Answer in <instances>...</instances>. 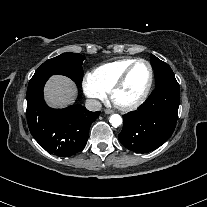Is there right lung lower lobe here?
I'll return each mask as SVG.
<instances>
[{
	"instance_id": "1",
	"label": "right lung lower lobe",
	"mask_w": 207,
	"mask_h": 207,
	"mask_svg": "<svg viewBox=\"0 0 207 207\" xmlns=\"http://www.w3.org/2000/svg\"><path fill=\"white\" fill-rule=\"evenodd\" d=\"M49 75L32 77L27 89V122L34 139L50 153L66 157L86 145L89 129L100 112L81 105L52 109L44 101L43 88Z\"/></svg>"
}]
</instances>
